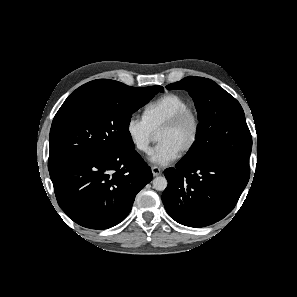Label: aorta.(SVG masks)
Returning a JSON list of instances; mask_svg holds the SVG:
<instances>
[{"mask_svg": "<svg viewBox=\"0 0 297 297\" xmlns=\"http://www.w3.org/2000/svg\"><path fill=\"white\" fill-rule=\"evenodd\" d=\"M152 184L154 189L158 191H163L166 189L168 182L165 177L157 176L156 178L153 179Z\"/></svg>", "mask_w": 297, "mask_h": 297, "instance_id": "obj_1", "label": "aorta"}]
</instances>
